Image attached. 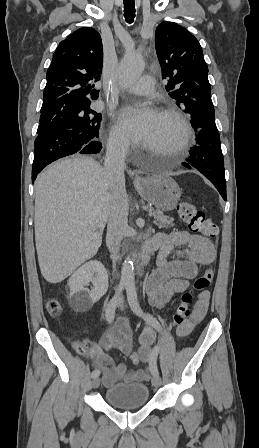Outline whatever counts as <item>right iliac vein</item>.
I'll return each mask as SVG.
<instances>
[{"instance_id":"1","label":"right iliac vein","mask_w":259,"mask_h":448,"mask_svg":"<svg viewBox=\"0 0 259 448\" xmlns=\"http://www.w3.org/2000/svg\"><path fill=\"white\" fill-rule=\"evenodd\" d=\"M100 385V379L98 377L93 378L92 380V387L94 389L98 388Z\"/></svg>"}]
</instances>
